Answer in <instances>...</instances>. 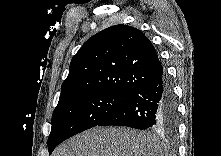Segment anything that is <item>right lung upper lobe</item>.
<instances>
[{"mask_svg":"<svg viewBox=\"0 0 221 156\" xmlns=\"http://www.w3.org/2000/svg\"><path fill=\"white\" fill-rule=\"evenodd\" d=\"M69 68L58 104L99 92L131 96L163 73L151 41L140 30L123 24L88 39Z\"/></svg>","mask_w":221,"mask_h":156,"instance_id":"right-lung-upper-lobe-1","label":"right lung upper lobe"}]
</instances>
